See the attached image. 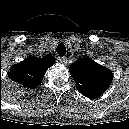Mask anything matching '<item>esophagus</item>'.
Segmentation results:
<instances>
[{
    "label": "esophagus",
    "instance_id": "1",
    "mask_svg": "<svg viewBox=\"0 0 129 129\" xmlns=\"http://www.w3.org/2000/svg\"><path fill=\"white\" fill-rule=\"evenodd\" d=\"M58 60L63 63H66L67 61L65 57H59Z\"/></svg>",
    "mask_w": 129,
    "mask_h": 129
}]
</instances>
